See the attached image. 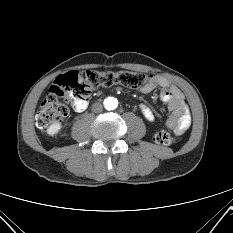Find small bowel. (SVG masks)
Here are the masks:
<instances>
[{
  "mask_svg": "<svg viewBox=\"0 0 233 233\" xmlns=\"http://www.w3.org/2000/svg\"><path fill=\"white\" fill-rule=\"evenodd\" d=\"M157 88L160 89L159 98L166 103L170 111V116L166 121L167 128L175 134H182L191 126L192 122L191 113L184 100L183 93L172 85L167 78L160 75L151 76L148 83L140 91L147 94ZM88 105V100L78 102L74 109L77 112H82L87 109ZM140 110L146 120L149 122L155 121L156 115L147 104H141Z\"/></svg>",
  "mask_w": 233,
  "mask_h": 233,
  "instance_id": "obj_1",
  "label": "small bowel"
}]
</instances>
